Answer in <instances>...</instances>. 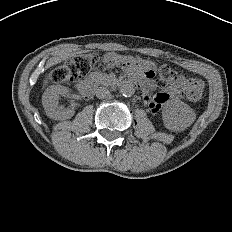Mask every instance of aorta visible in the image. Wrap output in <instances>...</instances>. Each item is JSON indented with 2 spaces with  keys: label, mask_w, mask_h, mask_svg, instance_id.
Here are the masks:
<instances>
[{
  "label": "aorta",
  "mask_w": 232,
  "mask_h": 232,
  "mask_svg": "<svg viewBox=\"0 0 232 232\" xmlns=\"http://www.w3.org/2000/svg\"><path fill=\"white\" fill-rule=\"evenodd\" d=\"M120 94L124 97H132L135 93V88L131 84H124L120 88Z\"/></svg>",
  "instance_id": "obj_1"
}]
</instances>
